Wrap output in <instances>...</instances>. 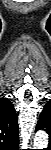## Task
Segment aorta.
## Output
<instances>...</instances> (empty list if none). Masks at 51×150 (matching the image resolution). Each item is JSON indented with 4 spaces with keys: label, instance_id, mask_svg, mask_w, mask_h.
I'll use <instances>...</instances> for the list:
<instances>
[{
    "label": "aorta",
    "instance_id": "1",
    "mask_svg": "<svg viewBox=\"0 0 51 150\" xmlns=\"http://www.w3.org/2000/svg\"><path fill=\"white\" fill-rule=\"evenodd\" d=\"M48 145V135L45 131H38L34 137V148L42 149Z\"/></svg>",
    "mask_w": 51,
    "mask_h": 150
}]
</instances>
